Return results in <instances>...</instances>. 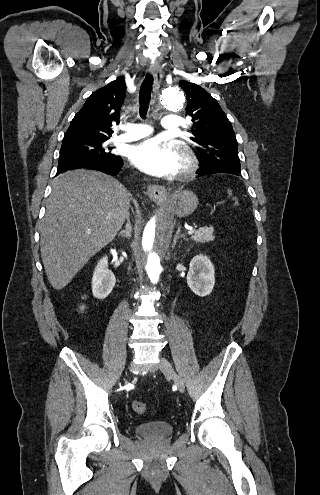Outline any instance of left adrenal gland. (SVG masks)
<instances>
[{
    "instance_id": "left-adrenal-gland-1",
    "label": "left adrenal gland",
    "mask_w": 320,
    "mask_h": 495,
    "mask_svg": "<svg viewBox=\"0 0 320 495\" xmlns=\"http://www.w3.org/2000/svg\"><path fill=\"white\" fill-rule=\"evenodd\" d=\"M178 239H183V240H186L188 241L187 237L184 235V234H181L180 233V227L178 228L175 236H174V239H173V246L176 244V242L178 241Z\"/></svg>"
}]
</instances>
